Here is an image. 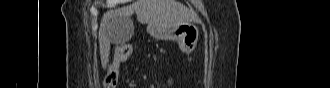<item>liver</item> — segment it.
<instances>
[{
  "label": "liver",
  "mask_w": 330,
  "mask_h": 88,
  "mask_svg": "<svg viewBox=\"0 0 330 88\" xmlns=\"http://www.w3.org/2000/svg\"><path fill=\"white\" fill-rule=\"evenodd\" d=\"M136 13L140 23L148 24V30L163 25H177L196 19V15L177 0H135L126 7L106 12L101 20L98 39L103 65L108 61L110 45L116 41L113 25L121 20L132 22Z\"/></svg>",
  "instance_id": "obj_1"
}]
</instances>
